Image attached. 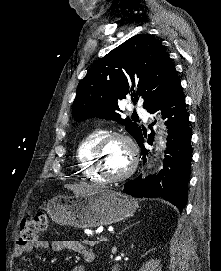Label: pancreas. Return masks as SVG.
Segmentation results:
<instances>
[{"instance_id":"obj_1","label":"pancreas","mask_w":221,"mask_h":271,"mask_svg":"<svg viewBox=\"0 0 221 271\" xmlns=\"http://www.w3.org/2000/svg\"><path fill=\"white\" fill-rule=\"evenodd\" d=\"M81 244H86L87 247H98L101 244V239H88V241H79Z\"/></svg>"}]
</instances>
